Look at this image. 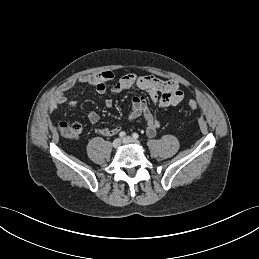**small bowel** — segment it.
<instances>
[{
    "instance_id": "obj_1",
    "label": "small bowel",
    "mask_w": 259,
    "mask_h": 259,
    "mask_svg": "<svg viewBox=\"0 0 259 259\" xmlns=\"http://www.w3.org/2000/svg\"><path fill=\"white\" fill-rule=\"evenodd\" d=\"M114 80L115 74L111 70L69 78L57 91L54 101L48 106V112H52L66 105L73 108L77 107V101H68L66 97V94L75 87L89 85L94 87L98 93L104 94L107 91V83ZM133 86L145 91L153 103L163 110L178 105L184 98V93L176 81L165 80L157 76H138L134 72H128L118 78L111 86L110 93L115 95ZM105 105L108 108L112 107V99H107ZM165 116L166 113L153 114L148 108L144 96H136L133 98L129 119L135 120L139 117H143L146 125V134L149 137H154L157 134ZM87 118L91 124H96L100 116L96 111L92 110L88 112ZM120 130L121 126L118 125L115 127L99 128L98 132L103 136L110 137L118 134Z\"/></svg>"
}]
</instances>
